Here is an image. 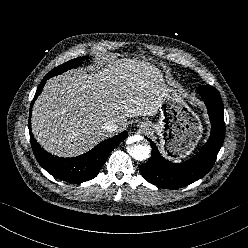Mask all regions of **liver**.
Masks as SVG:
<instances>
[{"instance_id": "obj_1", "label": "liver", "mask_w": 248, "mask_h": 248, "mask_svg": "<svg viewBox=\"0 0 248 248\" xmlns=\"http://www.w3.org/2000/svg\"><path fill=\"white\" fill-rule=\"evenodd\" d=\"M96 71L72 70L46 82L31 121L46 151L62 157L83 154L108 137L106 122H115L122 131L127 118L158 112L165 85L150 64L115 60Z\"/></svg>"}]
</instances>
